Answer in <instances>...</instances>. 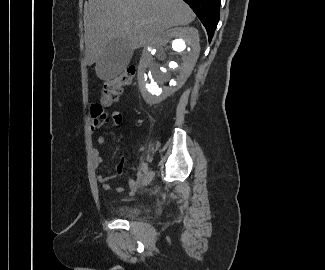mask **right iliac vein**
Listing matches in <instances>:
<instances>
[{"label": "right iliac vein", "instance_id": "63e3f726", "mask_svg": "<svg viewBox=\"0 0 325 270\" xmlns=\"http://www.w3.org/2000/svg\"><path fill=\"white\" fill-rule=\"evenodd\" d=\"M153 177H154V172H153V171H149V172L145 175V177H144V179H143V181H142V186H146V185H148V184L151 182V180L153 179Z\"/></svg>", "mask_w": 325, "mask_h": 270}]
</instances>
